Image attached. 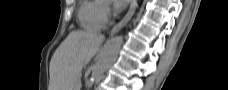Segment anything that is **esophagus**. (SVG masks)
<instances>
[{"mask_svg":"<svg viewBox=\"0 0 228 90\" xmlns=\"http://www.w3.org/2000/svg\"><path fill=\"white\" fill-rule=\"evenodd\" d=\"M136 8H137V0H131V4H130V8H129L128 12L122 18V20L112 28L110 35H114L118 31H120L130 21Z\"/></svg>","mask_w":228,"mask_h":90,"instance_id":"1","label":"esophagus"}]
</instances>
